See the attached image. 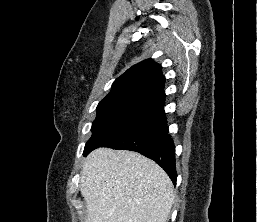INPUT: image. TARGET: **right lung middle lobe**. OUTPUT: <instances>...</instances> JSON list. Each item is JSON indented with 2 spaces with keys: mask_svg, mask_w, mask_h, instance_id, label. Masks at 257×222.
Here are the masks:
<instances>
[{
  "mask_svg": "<svg viewBox=\"0 0 257 222\" xmlns=\"http://www.w3.org/2000/svg\"><path fill=\"white\" fill-rule=\"evenodd\" d=\"M162 109L158 104L138 99L101 101L91 128L93 134L85 146L84 154L136 127Z\"/></svg>",
  "mask_w": 257,
  "mask_h": 222,
  "instance_id": "dd1d6c3e",
  "label": "right lung middle lobe"
}]
</instances>
